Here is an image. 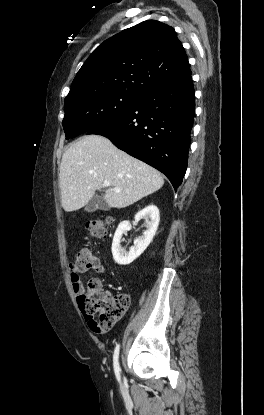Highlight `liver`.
<instances>
[{"label": "liver", "mask_w": 264, "mask_h": 415, "mask_svg": "<svg viewBox=\"0 0 264 415\" xmlns=\"http://www.w3.org/2000/svg\"><path fill=\"white\" fill-rule=\"evenodd\" d=\"M61 205L66 212L84 207L104 181L103 195L113 208H125L159 190L164 179L148 164L128 155L100 135H85L62 155L59 168ZM119 188L120 192H114Z\"/></svg>", "instance_id": "liver-1"}]
</instances>
